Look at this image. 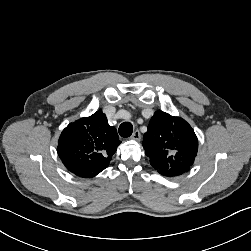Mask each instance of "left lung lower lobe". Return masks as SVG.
Listing matches in <instances>:
<instances>
[{"instance_id":"0a47b994","label":"left lung lower lobe","mask_w":251,"mask_h":251,"mask_svg":"<svg viewBox=\"0 0 251 251\" xmlns=\"http://www.w3.org/2000/svg\"><path fill=\"white\" fill-rule=\"evenodd\" d=\"M158 172L162 175H165V176H176V175H181L182 173L180 174H176L175 172H170L168 170H164V169H159ZM186 172V171H185Z\"/></svg>"}]
</instances>
